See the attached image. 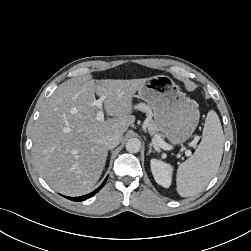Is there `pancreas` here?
<instances>
[{
    "instance_id": "1",
    "label": "pancreas",
    "mask_w": 251,
    "mask_h": 251,
    "mask_svg": "<svg viewBox=\"0 0 251 251\" xmlns=\"http://www.w3.org/2000/svg\"><path fill=\"white\" fill-rule=\"evenodd\" d=\"M139 108L142 111H145L147 113V115H148L146 121L144 122V125L148 128L149 132L152 135L159 134L158 133L159 129H158L156 123L154 122V120L151 118V115H152L151 109L149 107H147L146 105H140ZM159 139H161L160 134H159Z\"/></svg>"
}]
</instances>
